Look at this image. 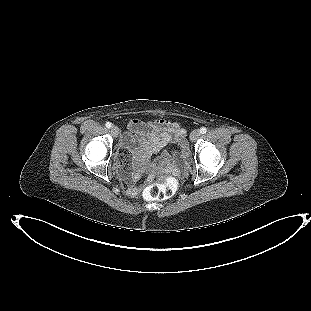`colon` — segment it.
<instances>
[{"label":"colon","mask_w":311,"mask_h":311,"mask_svg":"<svg viewBox=\"0 0 311 311\" xmlns=\"http://www.w3.org/2000/svg\"><path fill=\"white\" fill-rule=\"evenodd\" d=\"M129 156L128 152H125ZM122 152L120 153L119 159H121ZM123 180L125 177L121 173ZM126 181V180H125ZM177 191V186L174 181L166 178H162L160 182L153 183L147 186L143 191V196L145 199L150 201L164 200L172 197Z\"/></svg>","instance_id":"1"}]
</instances>
